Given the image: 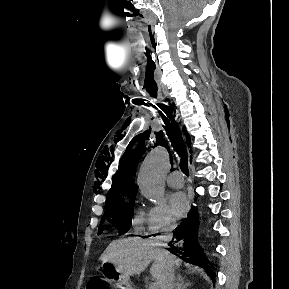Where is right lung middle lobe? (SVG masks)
Segmentation results:
<instances>
[{
	"label": "right lung middle lobe",
	"instance_id": "dd1d6c3e",
	"mask_svg": "<svg viewBox=\"0 0 289 289\" xmlns=\"http://www.w3.org/2000/svg\"><path fill=\"white\" fill-rule=\"evenodd\" d=\"M135 197L129 201L111 202L105 204V213L101 219V224L107 220H114L118 224L120 233L127 232L132 223L133 206ZM100 224L99 234L102 233L103 227Z\"/></svg>",
	"mask_w": 289,
	"mask_h": 289
}]
</instances>
